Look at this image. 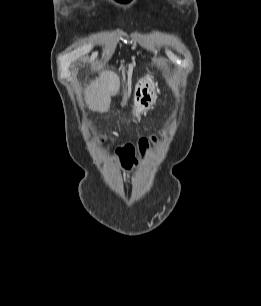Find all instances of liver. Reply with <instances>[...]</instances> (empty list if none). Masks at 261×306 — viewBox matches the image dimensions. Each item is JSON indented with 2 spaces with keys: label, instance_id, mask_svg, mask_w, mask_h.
Segmentation results:
<instances>
[{
  "label": "liver",
  "instance_id": "1",
  "mask_svg": "<svg viewBox=\"0 0 261 306\" xmlns=\"http://www.w3.org/2000/svg\"><path fill=\"white\" fill-rule=\"evenodd\" d=\"M120 89V79L113 71H104L87 87L85 100L89 108L100 113L110 108L111 97Z\"/></svg>",
  "mask_w": 261,
  "mask_h": 306
}]
</instances>
